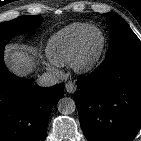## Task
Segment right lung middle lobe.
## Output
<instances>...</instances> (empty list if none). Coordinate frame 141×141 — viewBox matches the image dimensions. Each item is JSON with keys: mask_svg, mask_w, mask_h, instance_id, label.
<instances>
[{"mask_svg": "<svg viewBox=\"0 0 141 141\" xmlns=\"http://www.w3.org/2000/svg\"><path fill=\"white\" fill-rule=\"evenodd\" d=\"M42 19L39 15L21 16L8 22L0 23V47H4L13 36L32 31L41 24Z\"/></svg>", "mask_w": 141, "mask_h": 141, "instance_id": "1", "label": "right lung middle lobe"}]
</instances>
